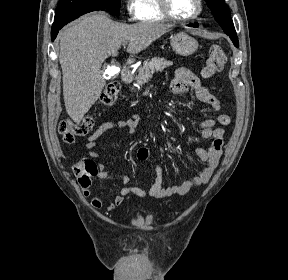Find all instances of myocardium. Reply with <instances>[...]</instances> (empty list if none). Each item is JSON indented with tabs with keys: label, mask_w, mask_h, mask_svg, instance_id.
<instances>
[{
	"label": "myocardium",
	"mask_w": 288,
	"mask_h": 280,
	"mask_svg": "<svg viewBox=\"0 0 288 280\" xmlns=\"http://www.w3.org/2000/svg\"><path fill=\"white\" fill-rule=\"evenodd\" d=\"M159 3V8L162 12V14L169 20L174 21V22H190L195 20L196 18L199 17L203 10V0H197V9L196 11L188 16V17H177L176 15L173 14L171 8H170V3L169 0H158Z\"/></svg>",
	"instance_id": "1"
}]
</instances>
